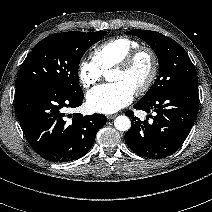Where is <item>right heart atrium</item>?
Listing matches in <instances>:
<instances>
[{
	"instance_id": "obj_1",
	"label": "right heart atrium",
	"mask_w": 212,
	"mask_h": 212,
	"mask_svg": "<svg viewBox=\"0 0 212 212\" xmlns=\"http://www.w3.org/2000/svg\"><path fill=\"white\" fill-rule=\"evenodd\" d=\"M103 71L94 59L83 58L77 66V76L84 88H89L100 81Z\"/></svg>"
}]
</instances>
